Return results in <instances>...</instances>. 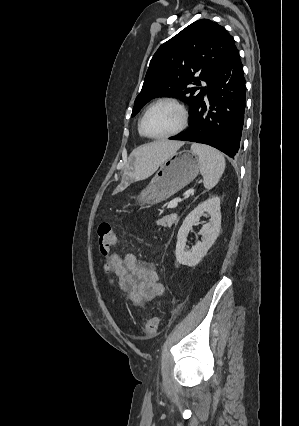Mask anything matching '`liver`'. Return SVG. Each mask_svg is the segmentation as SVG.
<instances>
[{"mask_svg":"<svg viewBox=\"0 0 299 426\" xmlns=\"http://www.w3.org/2000/svg\"><path fill=\"white\" fill-rule=\"evenodd\" d=\"M183 144L182 141L160 140L138 147L132 153L133 176L146 178L152 175Z\"/></svg>","mask_w":299,"mask_h":426,"instance_id":"1","label":"liver"}]
</instances>
